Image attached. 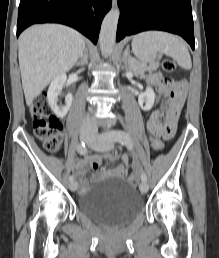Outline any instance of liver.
I'll return each mask as SVG.
<instances>
[{"label":"liver","mask_w":219,"mask_h":258,"mask_svg":"<svg viewBox=\"0 0 219 258\" xmlns=\"http://www.w3.org/2000/svg\"><path fill=\"white\" fill-rule=\"evenodd\" d=\"M84 48L82 35L63 25H33L20 35L18 58L28 106L54 78L72 69Z\"/></svg>","instance_id":"obj_1"}]
</instances>
